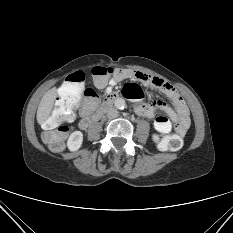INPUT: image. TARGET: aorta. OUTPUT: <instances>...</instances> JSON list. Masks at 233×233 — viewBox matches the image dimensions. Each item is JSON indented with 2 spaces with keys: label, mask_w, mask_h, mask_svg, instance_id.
<instances>
[{
  "label": "aorta",
  "mask_w": 233,
  "mask_h": 233,
  "mask_svg": "<svg viewBox=\"0 0 233 233\" xmlns=\"http://www.w3.org/2000/svg\"><path fill=\"white\" fill-rule=\"evenodd\" d=\"M115 106L118 109H124L125 107V100L122 98H118L115 100Z\"/></svg>",
  "instance_id": "obj_1"
}]
</instances>
